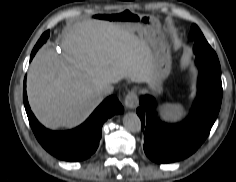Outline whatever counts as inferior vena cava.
<instances>
[{
    "label": "inferior vena cava",
    "mask_w": 236,
    "mask_h": 182,
    "mask_svg": "<svg viewBox=\"0 0 236 182\" xmlns=\"http://www.w3.org/2000/svg\"><path fill=\"white\" fill-rule=\"evenodd\" d=\"M114 87L111 84H105L101 87V93L106 96L113 92Z\"/></svg>",
    "instance_id": "inferior-vena-cava-1"
}]
</instances>
